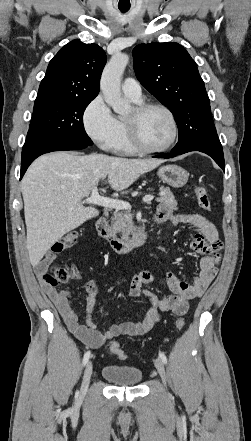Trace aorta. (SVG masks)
Listing matches in <instances>:
<instances>
[{"label": "aorta", "mask_w": 251, "mask_h": 441, "mask_svg": "<svg viewBox=\"0 0 251 441\" xmlns=\"http://www.w3.org/2000/svg\"><path fill=\"white\" fill-rule=\"evenodd\" d=\"M129 57L123 53L114 54L106 64L100 81V89L106 103L115 113L126 115L130 112V103L121 96V77L128 64Z\"/></svg>", "instance_id": "1"}]
</instances>
